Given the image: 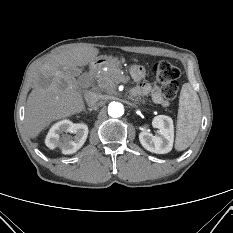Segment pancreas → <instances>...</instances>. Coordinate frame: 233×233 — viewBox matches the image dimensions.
<instances>
[{"instance_id":"obj_1","label":"pancreas","mask_w":233,"mask_h":233,"mask_svg":"<svg viewBox=\"0 0 233 233\" xmlns=\"http://www.w3.org/2000/svg\"><path fill=\"white\" fill-rule=\"evenodd\" d=\"M97 83L103 91H111L115 85L125 80L122 70L116 67H108L107 71H101L96 76Z\"/></svg>"}]
</instances>
